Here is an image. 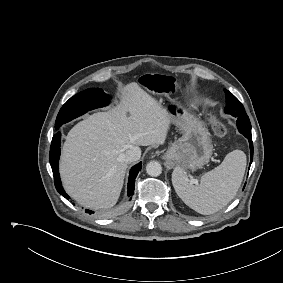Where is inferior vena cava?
<instances>
[{
  "label": "inferior vena cava",
  "instance_id": "inferior-vena-cava-1",
  "mask_svg": "<svg viewBox=\"0 0 283 283\" xmlns=\"http://www.w3.org/2000/svg\"><path fill=\"white\" fill-rule=\"evenodd\" d=\"M141 150L139 147H133L127 150L123 155V161L126 163L137 161L140 158Z\"/></svg>",
  "mask_w": 283,
  "mask_h": 283
}]
</instances>
